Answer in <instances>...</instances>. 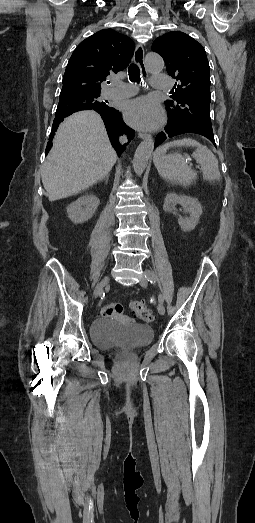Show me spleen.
<instances>
[{
    "label": "spleen",
    "mask_w": 255,
    "mask_h": 523,
    "mask_svg": "<svg viewBox=\"0 0 255 523\" xmlns=\"http://www.w3.org/2000/svg\"><path fill=\"white\" fill-rule=\"evenodd\" d=\"M180 146L196 148L192 156L197 164L201 166L203 180H208V182L220 180L216 156L206 146H202V144H199L196 140H191V138L174 140V142L164 144V146H160V148L155 150L153 156L154 166L164 180L172 182V184H179V186H191L197 178V172L189 168L181 154H176V152L175 154H166L169 148H180Z\"/></svg>",
    "instance_id": "1"
}]
</instances>
